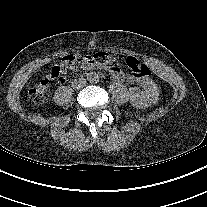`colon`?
Returning a JSON list of instances; mask_svg holds the SVG:
<instances>
[{
    "label": "colon",
    "mask_w": 207,
    "mask_h": 207,
    "mask_svg": "<svg viewBox=\"0 0 207 207\" xmlns=\"http://www.w3.org/2000/svg\"><path fill=\"white\" fill-rule=\"evenodd\" d=\"M116 65L115 58L107 52H97L87 55H67L51 68L50 74L44 76L29 91V97L33 105L42 106L47 100L48 89L53 79L63 74L84 67L112 68ZM127 67L136 78H147L151 72L143 62L130 57L127 59Z\"/></svg>",
    "instance_id": "obj_1"
}]
</instances>
